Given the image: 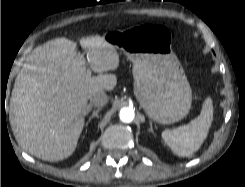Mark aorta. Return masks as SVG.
Listing matches in <instances>:
<instances>
[{
	"instance_id": "762f6f07",
	"label": "aorta",
	"mask_w": 245,
	"mask_h": 187,
	"mask_svg": "<svg viewBox=\"0 0 245 187\" xmlns=\"http://www.w3.org/2000/svg\"><path fill=\"white\" fill-rule=\"evenodd\" d=\"M135 117L134 110L132 108H123L120 111V119L125 123H130Z\"/></svg>"
}]
</instances>
